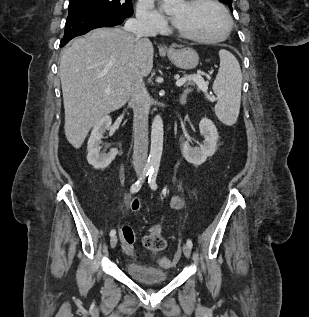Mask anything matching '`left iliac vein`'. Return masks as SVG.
I'll list each match as a JSON object with an SVG mask.
<instances>
[{
  "instance_id": "1",
  "label": "left iliac vein",
  "mask_w": 309,
  "mask_h": 317,
  "mask_svg": "<svg viewBox=\"0 0 309 317\" xmlns=\"http://www.w3.org/2000/svg\"><path fill=\"white\" fill-rule=\"evenodd\" d=\"M182 249H183V253H184L185 257L190 258L191 247H189L187 244H184Z\"/></svg>"
}]
</instances>
